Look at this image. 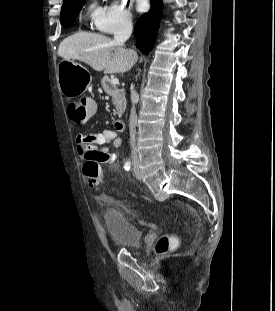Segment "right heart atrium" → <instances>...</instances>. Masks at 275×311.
I'll return each instance as SVG.
<instances>
[{
  "mask_svg": "<svg viewBox=\"0 0 275 311\" xmlns=\"http://www.w3.org/2000/svg\"><path fill=\"white\" fill-rule=\"evenodd\" d=\"M95 28L104 34L125 32L133 26V16L127 2L111 0L94 22Z\"/></svg>",
  "mask_w": 275,
  "mask_h": 311,
  "instance_id": "1",
  "label": "right heart atrium"
}]
</instances>
